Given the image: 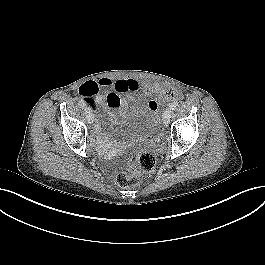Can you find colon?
I'll return each mask as SVG.
<instances>
[{
  "label": "colon",
  "mask_w": 265,
  "mask_h": 265,
  "mask_svg": "<svg viewBox=\"0 0 265 265\" xmlns=\"http://www.w3.org/2000/svg\"><path fill=\"white\" fill-rule=\"evenodd\" d=\"M173 90L167 88L165 95L171 96ZM110 99L119 102L118 98L114 95H110ZM156 165V155L151 151H142L135 154L131 161L130 166L117 176V184L121 187H134L140 183L141 177L150 173Z\"/></svg>",
  "instance_id": "1"
}]
</instances>
